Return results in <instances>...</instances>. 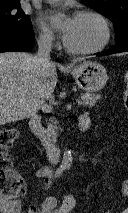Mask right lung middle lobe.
<instances>
[{
	"instance_id": "obj_1",
	"label": "right lung middle lobe",
	"mask_w": 128,
	"mask_h": 213,
	"mask_svg": "<svg viewBox=\"0 0 128 213\" xmlns=\"http://www.w3.org/2000/svg\"><path fill=\"white\" fill-rule=\"evenodd\" d=\"M32 23L20 4L0 6V32H29Z\"/></svg>"
}]
</instances>
